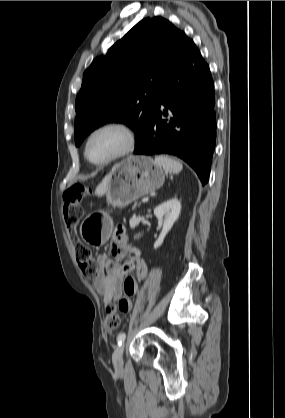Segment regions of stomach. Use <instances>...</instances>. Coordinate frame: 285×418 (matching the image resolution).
Listing matches in <instances>:
<instances>
[{
  "instance_id": "1",
  "label": "stomach",
  "mask_w": 285,
  "mask_h": 418,
  "mask_svg": "<svg viewBox=\"0 0 285 418\" xmlns=\"http://www.w3.org/2000/svg\"><path fill=\"white\" fill-rule=\"evenodd\" d=\"M106 193L107 203L125 207L138 198L160 188L165 180L164 169L148 156H129L114 166ZM113 229V220L106 211L88 215L80 225L82 239L88 244H105Z\"/></svg>"
}]
</instances>
